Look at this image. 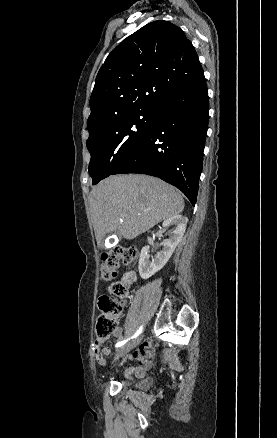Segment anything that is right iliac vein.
<instances>
[{
  "mask_svg": "<svg viewBox=\"0 0 277 438\" xmlns=\"http://www.w3.org/2000/svg\"><path fill=\"white\" fill-rule=\"evenodd\" d=\"M142 340V336L126 343L119 349H117L114 361L118 360L120 357L124 356L126 353H128L130 350H132L134 347H136Z\"/></svg>",
  "mask_w": 277,
  "mask_h": 438,
  "instance_id": "right-iliac-vein-1",
  "label": "right iliac vein"
}]
</instances>
